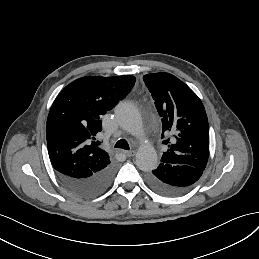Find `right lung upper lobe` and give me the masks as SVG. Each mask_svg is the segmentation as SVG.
Masks as SVG:
<instances>
[{"label": "right lung upper lobe", "mask_w": 259, "mask_h": 259, "mask_svg": "<svg viewBox=\"0 0 259 259\" xmlns=\"http://www.w3.org/2000/svg\"><path fill=\"white\" fill-rule=\"evenodd\" d=\"M135 84L131 75L86 76L66 86L54 101L46 125L47 148L54 169L87 178L110 164L96 135L101 118L125 98Z\"/></svg>", "instance_id": "cb5924a9"}]
</instances>
